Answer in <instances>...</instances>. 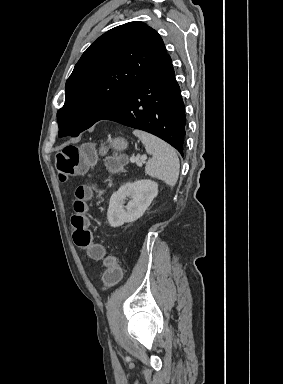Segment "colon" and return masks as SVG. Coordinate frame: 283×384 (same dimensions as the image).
Listing matches in <instances>:
<instances>
[{
  "label": "colon",
  "instance_id": "5ec220e1",
  "mask_svg": "<svg viewBox=\"0 0 283 384\" xmlns=\"http://www.w3.org/2000/svg\"><path fill=\"white\" fill-rule=\"evenodd\" d=\"M96 159V148L94 144L87 143L81 146L68 145L56 155V169L60 180L65 181L70 177L85 172ZM125 159L121 156H109L106 165L110 172H118L124 165ZM93 188L88 185H80L75 192L73 204V215L71 224L73 226V241L88 251L91 258L103 260L105 271L102 277L104 289H109L120 282L122 278L121 269L115 256L106 252L100 243H93L92 233L89 229L88 202L92 197Z\"/></svg>",
  "mask_w": 283,
  "mask_h": 384
}]
</instances>
